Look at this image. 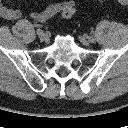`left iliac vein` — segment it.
Wrapping results in <instances>:
<instances>
[{
	"label": "left iliac vein",
	"mask_w": 128,
	"mask_h": 128,
	"mask_svg": "<svg viewBox=\"0 0 128 128\" xmlns=\"http://www.w3.org/2000/svg\"><path fill=\"white\" fill-rule=\"evenodd\" d=\"M79 39L80 42L85 46H88L91 43V41L85 36H80Z\"/></svg>",
	"instance_id": "4c4485c4"
}]
</instances>
